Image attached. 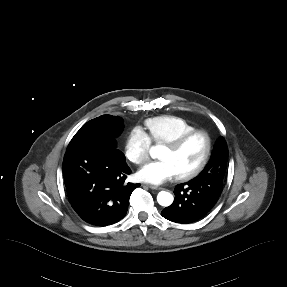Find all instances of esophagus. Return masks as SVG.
Returning <instances> with one entry per match:
<instances>
[{
	"label": "esophagus",
	"mask_w": 287,
	"mask_h": 287,
	"mask_svg": "<svg viewBox=\"0 0 287 287\" xmlns=\"http://www.w3.org/2000/svg\"><path fill=\"white\" fill-rule=\"evenodd\" d=\"M147 187H149L152 190H161L162 188L153 184H148Z\"/></svg>",
	"instance_id": "1"
}]
</instances>
